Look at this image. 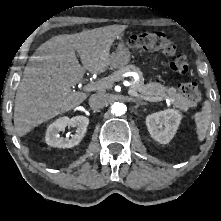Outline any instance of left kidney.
<instances>
[{
    "instance_id": "left-kidney-1",
    "label": "left kidney",
    "mask_w": 221,
    "mask_h": 221,
    "mask_svg": "<svg viewBox=\"0 0 221 221\" xmlns=\"http://www.w3.org/2000/svg\"><path fill=\"white\" fill-rule=\"evenodd\" d=\"M182 115L178 110L167 109L148 115L146 125L151 137L161 144H167L174 137Z\"/></svg>"
}]
</instances>
